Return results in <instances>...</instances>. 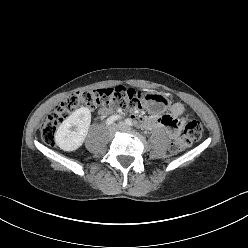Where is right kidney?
<instances>
[{"mask_svg":"<svg viewBox=\"0 0 248 248\" xmlns=\"http://www.w3.org/2000/svg\"><path fill=\"white\" fill-rule=\"evenodd\" d=\"M91 112L86 107L75 110L59 126L55 133V142L64 151L80 148L88 134Z\"/></svg>","mask_w":248,"mask_h":248,"instance_id":"ca27d5eb","label":"right kidney"}]
</instances>
